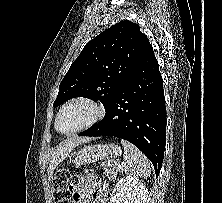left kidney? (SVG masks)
<instances>
[{
    "instance_id": "obj_1",
    "label": "left kidney",
    "mask_w": 222,
    "mask_h": 203,
    "mask_svg": "<svg viewBox=\"0 0 222 203\" xmlns=\"http://www.w3.org/2000/svg\"><path fill=\"white\" fill-rule=\"evenodd\" d=\"M147 196L148 190L138 178L125 176L116 183L110 203H145Z\"/></svg>"
}]
</instances>
